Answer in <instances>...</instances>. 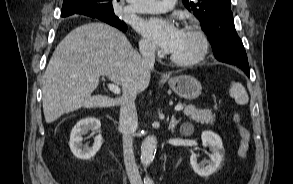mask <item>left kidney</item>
<instances>
[{
    "instance_id": "5707ae66",
    "label": "left kidney",
    "mask_w": 293,
    "mask_h": 184,
    "mask_svg": "<svg viewBox=\"0 0 293 184\" xmlns=\"http://www.w3.org/2000/svg\"><path fill=\"white\" fill-rule=\"evenodd\" d=\"M202 145L209 147L211 151L210 160H207V165L198 163V155L192 154L190 157V164L195 173L201 177H208L215 173L219 168L224 157L223 143L219 135L212 131H203L201 135Z\"/></svg>"
}]
</instances>
